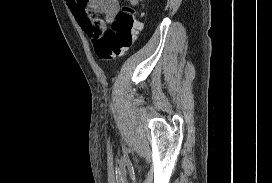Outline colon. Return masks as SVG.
<instances>
[{
	"instance_id": "1",
	"label": "colon",
	"mask_w": 272,
	"mask_h": 183,
	"mask_svg": "<svg viewBox=\"0 0 272 183\" xmlns=\"http://www.w3.org/2000/svg\"><path fill=\"white\" fill-rule=\"evenodd\" d=\"M141 27L132 7L124 6L116 15L111 27L103 34L94 37V51L105 62L125 55L131 48Z\"/></svg>"
}]
</instances>
